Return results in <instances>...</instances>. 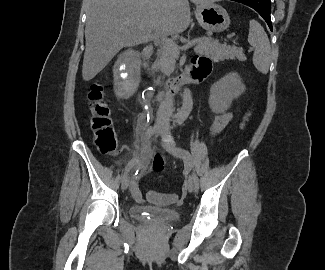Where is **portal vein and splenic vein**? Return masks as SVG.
I'll return each instance as SVG.
<instances>
[{"label": "portal vein and splenic vein", "instance_id": "1", "mask_svg": "<svg viewBox=\"0 0 325 270\" xmlns=\"http://www.w3.org/2000/svg\"><path fill=\"white\" fill-rule=\"evenodd\" d=\"M163 41L166 44H169L170 46L174 47L177 50H186V49L194 46L197 43V40L195 39V40H192L191 42H189L188 44H186L182 47H179L178 45H176V43L173 40L168 39L167 37H163Z\"/></svg>", "mask_w": 325, "mask_h": 270}]
</instances>
